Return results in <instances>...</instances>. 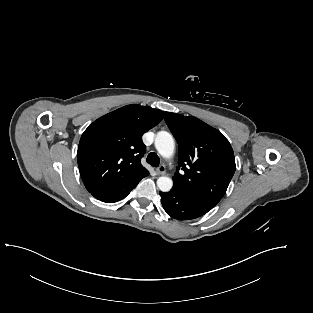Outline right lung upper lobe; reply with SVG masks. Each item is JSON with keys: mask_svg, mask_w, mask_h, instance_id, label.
<instances>
[{"mask_svg": "<svg viewBox=\"0 0 313 313\" xmlns=\"http://www.w3.org/2000/svg\"><path fill=\"white\" fill-rule=\"evenodd\" d=\"M163 117L161 110L128 105L89 125L77 151L86 189L91 193L148 175L140 163L146 150L141 137Z\"/></svg>", "mask_w": 313, "mask_h": 313, "instance_id": "obj_1", "label": "right lung upper lobe"}]
</instances>
